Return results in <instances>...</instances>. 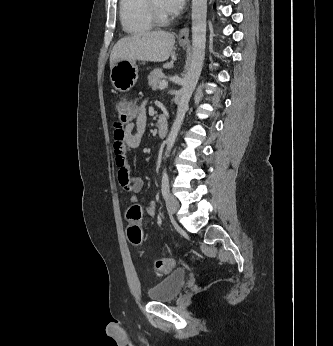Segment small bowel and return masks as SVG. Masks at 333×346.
<instances>
[{
  "mask_svg": "<svg viewBox=\"0 0 333 346\" xmlns=\"http://www.w3.org/2000/svg\"><path fill=\"white\" fill-rule=\"evenodd\" d=\"M146 125V101H144L140 104L138 115L133 121L128 122L124 126L117 124L113 131L116 164L118 166V181L125 190L132 193V205L138 204V194L142 191L143 181L139 177L131 176L127 151L139 147L146 130ZM134 129H136L135 132H133ZM156 211L157 205L155 202H151L146 206V213L149 216H154Z\"/></svg>",
  "mask_w": 333,
  "mask_h": 346,
  "instance_id": "obj_1",
  "label": "small bowel"
}]
</instances>
